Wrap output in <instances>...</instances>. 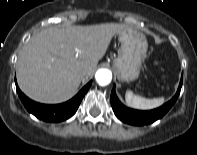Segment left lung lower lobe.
I'll return each instance as SVG.
<instances>
[{
    "mask_svg": "<svg viewBox=\"0 0 197 155\" xmlns=\"http://www.w3.org/2000/svg\"><path fill=\"white\" fill-rule=\"evenodd\" d=\"M182 80H183V75L181 77V81L175 96L169 102L165 103L164 105H162L157 109H153L149 111L134 110L124 106L116 96L115 86H114L111 92L112 109L115 115L124 123L137 125V126L153 123L154 121L162 118L176 102L180 94Z\"/></svg>",
    "mask_w": 197,
    "mask_h": 155,
    "instance_id": "1",
    "label": "left lung lower lobe"
}]
</instances>
